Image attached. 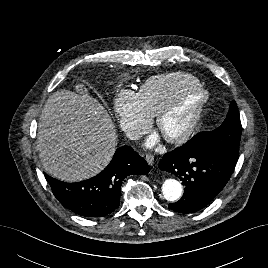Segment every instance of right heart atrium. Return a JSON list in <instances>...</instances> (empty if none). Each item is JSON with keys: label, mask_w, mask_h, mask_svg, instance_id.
Wrapping results in <instances>:
<instances>
[{"label": "right heart atrium", "mask_w": 268, "mask_h": 268, "mask_svg": "<svg viewBox=\"0 0 268 268\" xmlns=\"http://www.w3.org/2000/svg\"><path fill=\"white\" fill-rule=\"evenodd\" d=\"M113 112L121 128L131 136L144 132L153 120L140 93L123 90L113 102Z\"/></svg>", "instance_id": "obj_1"}]
</instances>
